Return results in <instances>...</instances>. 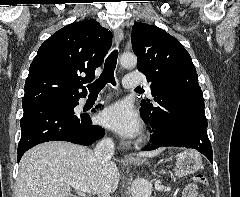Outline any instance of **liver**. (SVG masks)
Listing matches in <instances>:
<instances>
[{"label":"liver","mask_w":240,"mask_h":197,"mask_svg":"<svg viewBox=\"0 0 240 197\" xmlns=\"http://www.w3.org/2000/svg\"><path fill=\"white\" fill-rule=\"evenodd\" d=\"M160 151L140 154L153 157ZM120 174L114 162H99L85 146L46 142L27 151L19 164L15 197H76L70 183H82L94 194L113 193Z\"/></svg>","instance_id":"6515ba94"}]
</instances>
